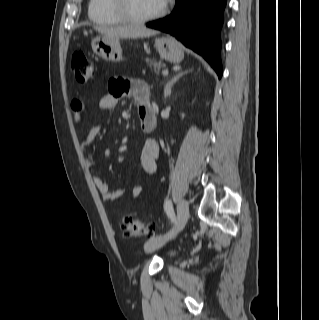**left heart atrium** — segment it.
<instances>
[{
    "instance_id": "left-heart-atrium-1",
    "label": "left heart atrium",
    "mask_w": 319,
    "mask_h": 320,
    "mask_svg": "<svg viewBox=\"0 0 319 320\" xmlns=\"http://www.w3.org/2000/svg\"><path fill=\"white\" fill-rule=\"evenodd\" d=\"M168 0H159L160 4L162 6H165Z\"/></svg>"
}]
</instances>
